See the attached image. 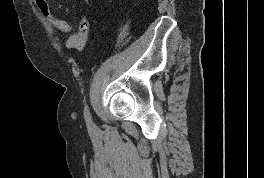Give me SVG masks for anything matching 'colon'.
Returning a JSON list of instances; mask_svg holds the SVG:
<instances>
[{"label":"colon","instance_id":"obj_1","mask_svg":"<svg viewBox=\"0 0 264 178\" xmlns=\"http://www.w3.org/2000/svg\"><path fill=\"white\" fill-rule=\"evenodd\" d=\"M90 34V21L87 16H83L79 24L78 32L72 34L67 40V46L70 48H75L82 50L89 42Z\"/></svg>","mask_w":264,"mask_h":178}]
</instances>
